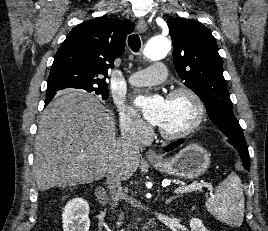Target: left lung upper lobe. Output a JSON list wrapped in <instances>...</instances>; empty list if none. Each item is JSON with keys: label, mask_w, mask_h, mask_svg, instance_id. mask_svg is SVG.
Masks as SVG:
<instances>
[{"label": "left lung upper lobe", "mask_w": 268, "mask_h": 231, "mask_svg": "<svg viewBox=\"0 0 268 231\" xmlns=\"http://www.w3.org/2000/svg\"><path fill=\"white\" fill-rule=\"evenodd\" d=\"M173 41V60L184 85L204 102L212 122L237 149L246 147L242 128L232 109L223 77L222 60L210 30L200 22L185 18L167 20Z\"/></svg>", "instance_id": "left-lung-upper-lobe-1"}]
</instances>
